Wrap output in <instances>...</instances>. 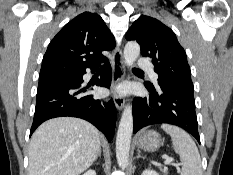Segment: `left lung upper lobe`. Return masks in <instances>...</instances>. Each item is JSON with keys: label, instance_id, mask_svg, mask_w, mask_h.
<instances>
[{"label": "left lung upper lobe", "instance_id": "5c2ea615", "mask_svg": "<svg viewBox=\"0 0 233 175\" xmlns=\"http://www.w3.org/2000/svg\"><path fill=\"white\" fill-rule=\"evenodd\" d=\"M127 40H136L144 57L152 58L159 86L176 85L193 88L191 71L184 49L175 33L159 20L141 15L126 33ZM150 87L153 84L146 82Z\"/></svg>", "mask_w": 233, "mask_h": 175}]
</instances>
